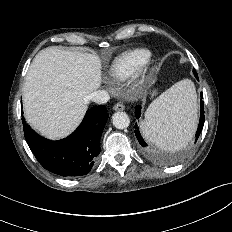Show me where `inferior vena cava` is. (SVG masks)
Masks as SVG:
<instances>
[{
    "label": "inferior vena cava",
    "instance_id": "602c4592",
    "mask_svg": "<svg viewBox=\"0 0 232 232\" xmlns=\"http://www.w3.org/2000/svg\"><path fill=\"white\" fill-rule=\"evenodd\" d=\"M88 98L97 104H104V103H107L109 101L110 96H109L108 92L105 90H97V91L92 92L88 96Z\"/></svg>",
    "mask_w": 232,
    "mask_h": 232
}]
</instances>
